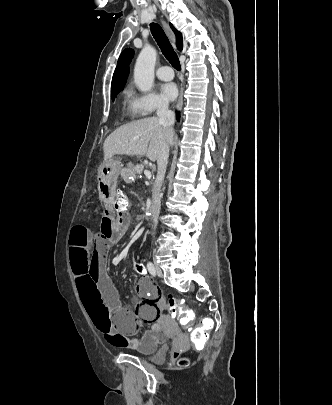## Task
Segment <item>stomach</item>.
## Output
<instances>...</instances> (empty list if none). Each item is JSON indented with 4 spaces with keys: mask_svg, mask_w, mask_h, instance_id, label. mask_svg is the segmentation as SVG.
Instances as JSON below:
<instances>
[{
    "mask_svg": "<svg viewBox=\"0 0 332 405\" xmlns=\"http://www.w3.org/2000/svg\"><path fill=\"white\" fill-rule=\"evenodd\" d=\"M117 161V164H118V166H119V168L122 166L121 164H120V161H118V160H116Z\"/></svg>",
    "mask_w": 332,
    "mask_h": 405,
    "instance_id": "obj_1",
    "label": "stomach"
}]
</instances>
